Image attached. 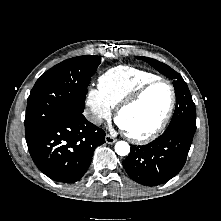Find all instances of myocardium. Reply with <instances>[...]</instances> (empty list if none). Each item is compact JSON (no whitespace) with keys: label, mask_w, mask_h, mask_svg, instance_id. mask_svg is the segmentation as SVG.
<instances>
[{"label":"myocardium","mask_w":221,"mask_h":221,"mask_svg":"<svg viewBox=\"0 0 221 221\" xmlns=\"http://www.w3.org/2000/svg\"><path fill=\"white\" fill-rule=\"evenodd\" d=\"M158 83H165L168 85V87L170 89L171 98H170V103H169L168 109H167L162 121L160 122V124L154 130H152L150 133L143 134V135H135V134H132L131 132L127 131L126 129H124L126 136L134 143H144V142L151 141V140L157 138L163 132V130L166 128V126L168 125V123L172 117V114L174 112L175 105H176L175 88H174L172 82L169 81L168 79L157 77L152 80H149L148 82H146L143 85H141L140 87H138L135 91H133L131 94H129L126 98H124L117 105L115 117H116L117 122L121 125L120 115H121L122 111L125 110L126 108L136 104L143 97V95L146 93V91L150 87H152Z\"/></svg>","instance_id":"obj_1"}]
</instances>
